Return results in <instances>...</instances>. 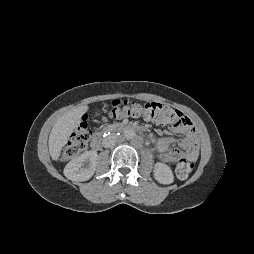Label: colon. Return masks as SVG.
<instances>
[{
  "mask_svg": "<svg viewBox=\"0 0 254 254\" xmlns=\"http://www.w3.org/2000/svg\"><path fill=\"white\" fill-rule=\"evenodd\" d=\"M109 115L113 118L123 116L143 117L147 120L170 124L172 126H186L191 123L190 119L182 112L159 102H149L144 105L125 101H113L109 109ZM91 131L85 122H82L70 136L62 151V159L69 160L87 147ZM194 169V163L182 159L175 164V173L178 178L186 179Z\"/></svg>",
  "mask_w": 254,
  "mask_h": 254,
  "instance_id": "obj_1",
  "label": "colon"
}]
</instances>
